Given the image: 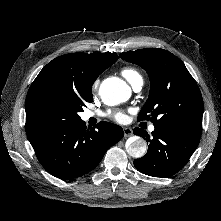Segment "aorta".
Masks as SVG:
<instances>
[{"label":"aorta","mask_w":221,"mask_h":221,"mask_svg":"<svg viewBox=\"0 0 221 221\" xmlns=\"http://www.w3.org/2000/svg\"><path fill=\"white\" fill-rule=\"evenodd\" d=\"M102 101L107 105H117L125 101L129 95L128 87L117 78L105 79L99 89ZM127 153L134 158H141L146 154V141L138 136L130 137L126 144Z\"/></svg>","instance_id":"762f6f07"}]
</instances>
